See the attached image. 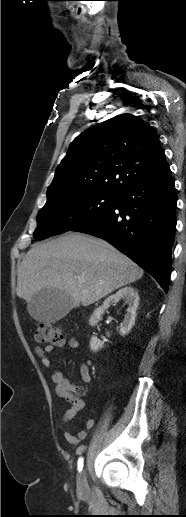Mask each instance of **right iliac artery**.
I'll list each match as a JSON object with an SVG mask.
<instances>
[{
	"mask_svg": "<svg viewBox=\"0 0 186 517\" xmlns=\"http://www.w3.org/2000/svg\"><path fill=\"white\" fill-rule=\"evenodd\" d=\"M77 464H78V470H79V471H81V470H82V468H83V465H84V459H83V457H80V458L78 459V463H77Z\"/></svg>",
	"mask_w": 186,
	"mask_h": 517,
	"instance_id": "82829eb1",
	"label": "right iliac artery"
}]
</instances>
